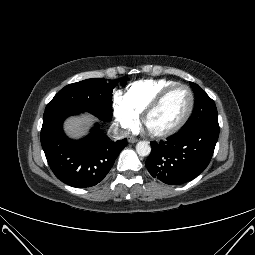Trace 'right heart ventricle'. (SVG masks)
Segmentation results:
<instances>
[{"instance_id": "obj_1", "label": "right heart ventricle", "mask_w": 255, "mask_h": 255, "mask_svg": "<svg viewBox=\"0 0 255 255\" xmlns=\"http://www.w3.org/2000/svg\"><path fill=\"white\" fill-rule=\"evenodd\" d=\"M175 84L163 79L134 82L126 88L122 99L139 115L160 92Z\"/></svg>"}]
</instances>
